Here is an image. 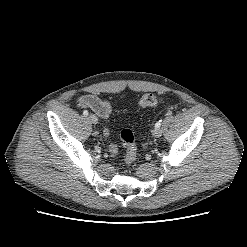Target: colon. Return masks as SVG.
Here are the masks:
<instances>
[{
  "instance_id": "5ec220e1",
  "label": "colon",
  "mask_w": 247,
  "mask_h": 247,
  "mask_svg": "<svg viewBox=\"0 0 247 247\" xmlns=\"http://www.w3.org/2000/svg\"><path fill=\"white\" fill-rule=\"evenodd\" d=\"M162 101V98L153 93L144 94L140 100L139 105L141 108H148L156 105ZM105 135H109V129L105 128ZM121 142L126 149L125 164L129 167L136 160L137 147L135 143L134 133L130 129H123L120 134ZM112 152H116L117 148L114 145L110 147Z\"/></svg>"
}]
</instances>
